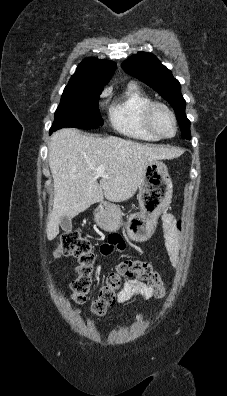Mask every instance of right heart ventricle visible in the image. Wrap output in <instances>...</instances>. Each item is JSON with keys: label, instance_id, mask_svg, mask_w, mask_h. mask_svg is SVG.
<instances>
[{"label": "right heart ventricle", "instance_id": "obj_1", "mask_svg": "<svg viewBox=\"0 0 227 396\" xmlns=\"http://www.w3.org/2000/svg\"><path fill=\"white\" fill-rule=\"evenodd\" d=\"M151 101L138 85L129 83L109 106L108 114L112 127L129 138L143 141L159 140L144 121L145 108Z\"/></svg>", "mask_w": 227, "mask_h": 396}]
</instances>
